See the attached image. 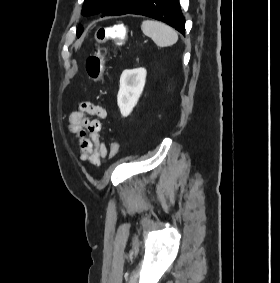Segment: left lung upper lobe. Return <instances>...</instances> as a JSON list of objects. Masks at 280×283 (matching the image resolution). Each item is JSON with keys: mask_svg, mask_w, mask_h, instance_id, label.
Returning <instances> with one entry per match:
<instances>
[{"mask_svg": "<svg viewBox=\"0 0 280 283\" xmlns=\"http://www.w3.org/2000/svg\"><path fill=\"white\" fill-rule=\"evenodd\" d=\"M144 0H85L82 8L83 15L102 13L103 16L127 14ZM102 16V17H103ZM82 32L79 26L77 35Z\"/></svg>", "mask_w": 280, "mask_h": 283, "instance_id": "1", "label": "left lung upper lobe"}]
</instances>
